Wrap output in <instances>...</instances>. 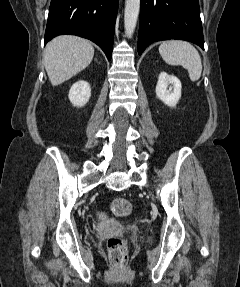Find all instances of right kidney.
Wrapping results in <instances>:
<instances>
[{"mask_svg": "<svg viewBox=\"0 0 240 287\" xmlns=\"http://www.w3.org/2000/svg\"><path fill=\"white\" fill-rule=\"evenodd\" d=\"M91 87L85 80L74 83L69 91L70 102L76 107H83L90 99Z\"/></svg>", "mask_w": 240, "mask_h": 287, "instance_id": "1", "label": "right kidney"}]
</instances>
